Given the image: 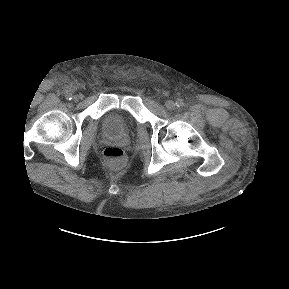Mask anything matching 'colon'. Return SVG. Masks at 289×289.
Returning <instances> with one entry per match:
<instances>
[{"label": "colon", "instance_id": "1", "mask_svg": "<svg viewBox=\"0 0 289 289\" xmlns=\"http://www.w3.org/2000/svg\"><path fill=\"white\" fill-rule=\"evenodd\" d=\"M103 158L105 162L112 168H121L126 161L124 151L117 146H109L103 150Z\"/></svg>", "mask_w": 289, "mask_h": 289}]
</instances>
